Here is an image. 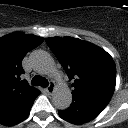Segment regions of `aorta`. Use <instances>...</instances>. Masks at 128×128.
I'll return each mask as SVG.
<instances>
[{
    "label": "aorta",
    "mask_w": 128,
    "mask_h": 128,
    "mask_svg": "<svg viewBox=\"0 0 128 128\" xmlns=\"http://www.w3.org/2000/svg\"><path fill=\"white\" fill-rule=\"evenodd\" d=\"M30 60L34 68L43 74L53 73L56 69L53 58L46 51L36 50L32 52ZM52 100L57 109H67L72 103V94L70 89L64 86L57 88L53 94Z\"/></svg>",
    "instance_id": "aorta-1"
}]
</instances>
